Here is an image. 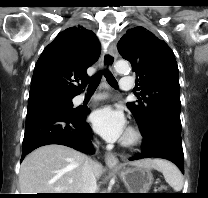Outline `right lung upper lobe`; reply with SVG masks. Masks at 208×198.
I'll use <instances>...</instances> for the list:
<instances>
[{
    "instance_id": "obj_1",
    "label": "right lung upper lobe",
    "mask_w": 208,
    "mask_h": 198,
    "mask_svg": "<svg viewBox=\"0 0 208 198\" xmlns=\"http://www.w3.org/2000/svg\"><path fill=\"white\" fill-rule=\"evenodd\" d=\"M100 52L91 30L78 25L60 32L36 63L28 107L79 95L86 86V70L98 60ZM79 80L81 85L73 83Z\"/></svg>"
}]
</instances>
